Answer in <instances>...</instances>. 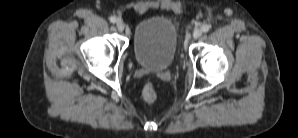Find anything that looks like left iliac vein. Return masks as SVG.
<instances>
[{"label":"left iliac vein","instance_id":"4c4485c4","mask_svg":"<svg viewBox=\"0 0 298 138\" xmlns=\"http://www.w3.org/2000/svg\"><path fill=\"white\" fill-rule=\"evenodd\" d=\"M201 35H202V29L200 28H196L192 34L193 38L195 39L199 38ZM187 43H188V40H186L185 45H187Z\"/></svg>","mask_w":298,"mask_h":138}]
</instances>
